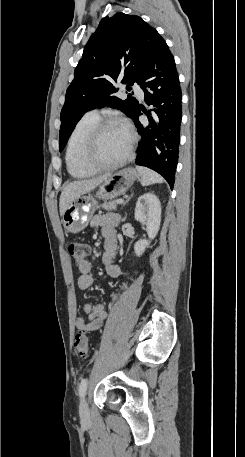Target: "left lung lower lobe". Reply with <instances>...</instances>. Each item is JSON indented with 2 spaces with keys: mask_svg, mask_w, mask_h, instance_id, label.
Wrapping results in <instances>:
<instances>
[{
  "mask_svg": "<svg viewBox=\"0 0 245 457\" xmlns=\"http://www.w3.org/2000/svg\"><path fill=\"white\" fill-rule=\"evenodd\" d=\"M140 83L146 104L154 108L147 112L138 104L131 117L141 134L135 164L161 174L172 189L179 157L182 95L174 57L163 39L154 47ZM142 112L148 116V125L139 122Z\"/></svg>",
  "mask_w": 245,
  "mask_h": 457,
  "instance_id": "0a47b994",
  "label": "left lung lower lobe"
}]
</instances>
